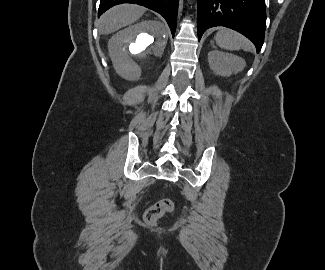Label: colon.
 <instances>
[{"mask_svg":"<svg viewBox=\"0 0 325 270\" xmlns=\"http://www.w3.org/2000/svg\"><path fill=\"white\" fill-rule=\"evenodd\" d=\"M174 210V202L168 198L161 199L150 206L144 214V220L147 224L153 225L165 213H170Z\"/></svg>","mask_w":325,"mask_h":270,"instance_id":"obj_1","label":"colon"}]
</instances>
